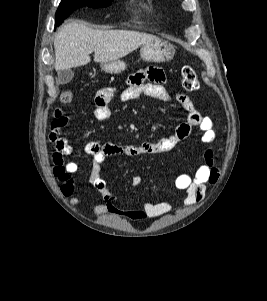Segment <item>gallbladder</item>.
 I'll return each instance as SVG.
<instances>
[{
    "label": "gallbladder",
    "instance_id": "obj_1",
    "mask_svg": "<svg viewBox=\"0 0 267 301\" xmlns=\"http://www.w3.org/2000/svg\"><path fill=\"white\" fill-rule=\"evenodd\" d=\"M74 77V73L71 69L59 70L56 81L60 85L69 83Z\"/></svg>",
    "mask_w": 267,
    "mask_h": 301
}]
</instances>
